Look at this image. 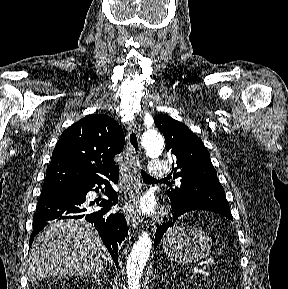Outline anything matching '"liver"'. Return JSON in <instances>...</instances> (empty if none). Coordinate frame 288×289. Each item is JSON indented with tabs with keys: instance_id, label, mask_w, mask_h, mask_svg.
I'll return each mask as SVG.
<instances>
[{
	"instance_id": "liver-1",
	"label": "liver",
	"mask_w": 288,
	"mask_h": 289,
	"mask_svg": "<svg viewBox=\"0 0 288 289\" xmlns=\"http://www.w3.org/2000/svg\"><path fill=\"white\" fill-rule=\"evenodd\" d=\"M110 260L95 228L84 219L61 220L45 227L35 238L28 259L27 277L90 275Z\"/></svg>"
}]
</instances>
